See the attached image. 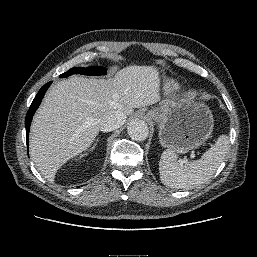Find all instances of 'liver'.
I'll return each instance as SVG.
<instances>
[{"label": "liver", "instance_id": "obj_1", "mask_svg": "<svg viewBox=\"0 0 257 257\" xmlns=\"http://www.w3.org/2000/svg\"><path fill=\"white\" fill-rule=\"evenodd\" d=\"M159 98L160 78L153 66L131 65L107 80L72 76L58 82L31 125L30 154L35 166L53 181L60 166L91 146L102 117L116 111L126 116Z\"/></svg>", "mask_w": 257, "mask_h": 257}]
</instances>
